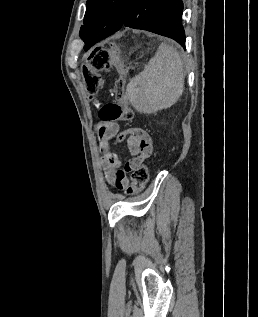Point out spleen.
<instances>
[{"label":"spleen","instance_id":"1","mask_svg":"<svg viewBox=\"0 0 258 317\" xmlns=\"http://www.w3.org/2000/svg\"><path fill=\"white\" fill-rule=\"evenodd\" d=\"M128 98L138 112H157L177 102L184 90L180 52L162 42L144 70L126 86Z\"/></svg>","mask_w":258,"mask_h":317}]
</instances>
